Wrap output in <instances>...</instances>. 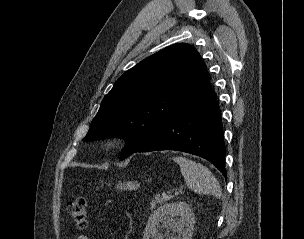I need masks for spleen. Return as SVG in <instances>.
Returning a JSON list of instances; mask_svg holds the SVG:
<instances>
[{
    "instance_id": "obj_1",
    "label": "spleen",
    "mask_w": 304,
    "mask_h": 239,
    "mask_svg": "<svg viewBox=\"0 0 304 239\" xmlns=\"http://www.w3.org/2000/svg\"><path fill=\"white\" fill-rule=\"evenodd\" d=\"M189 189L198 194L212 195L220 198L222 191L211 171L200 163L184 157H174Z\"/></svg>"
}]
</instances>
